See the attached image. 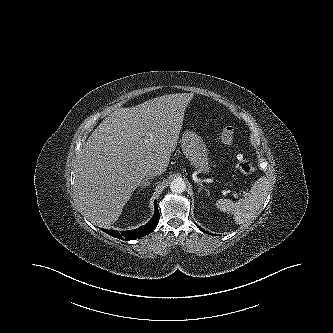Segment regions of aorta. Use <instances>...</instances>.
I'll list each match as a JSON object with an SVG mask.
<instances>
[{"mask_svg":"<svg viewBox=\"0 0 333 333\" xmlns=\"http://www.w3.org/2000/svg\"><path fill=\"white\" fill-rule=\"evenodd\" d=\"M170 189L174 193H182L186 189V184L181 178H176L171 182Z\"/></svg>","mask_w":333,"mask_h":333,"instance_id":"1","label":"aorta"}]
</instances>
